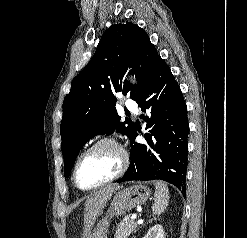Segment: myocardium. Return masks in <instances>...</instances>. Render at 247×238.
<instances>
[{"mask_svg":"<svg viewBox=\"0 0 247 238\" xmlns=\"http://www.w3.org/2000/svg\"><path fill=\"white\" fill-rule=\"evenodd\" d=\"M102 145H111L113 147H115L118 152L120 153V157H121V165L119 170L117 171L116 174H114L112 177L108 178L107 180L100 182L96 185L90 186V187H83L80 185V183L78 182L77 179V171H78V167L82 161V159L88 155L90 152H92L93 150H95L96 148L102 146ZM129 166V156L127 151L125 150V148L114 138L112 137H102L98 140H96L93 144H91L87 149H85L77 158L75 165L73 167V173H72V180L75 184V186L77 188H79L80 190L83 191H90V190H94L97 188H100L106 184H109L115 180H117L118 178H120L128 169Z\"/></svg>","mask_w":247,"mask_h":238,"instance_id":"1","label":"myocardium"}]
</instances>
